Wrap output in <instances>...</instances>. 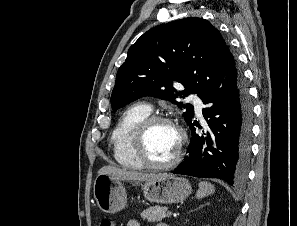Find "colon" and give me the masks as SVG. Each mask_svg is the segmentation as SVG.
<instances>
[{"mask_svg": "<svg viewBox=\"0 0 297 226\" xmlns=\"http://www.w3.org/2000/svg\"><path fill=\"white\" fill-rule=\"evenodd\" d=\"M100 226H114V224L110 219L105 218L101 221Z\"/></svg>", "mask_w": 297, "mask_h": 226, "instance_id": "1", "label": "colon"}]
</instances>
